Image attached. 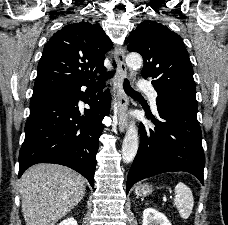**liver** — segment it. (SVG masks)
Here are the masks:
<instances>
[{"instance_id":"liver-1","label":"liver","mask_w":228,"mask_h":225,"mask_svg":"<svg viewBox=\"0 0 228 225\" xmlns=\"http://www.w3.org/2000/svg\"><path fill=\"white\" fill-rule=\"evenodd\" d=\"M19 183L26 225H55L80 203L86 191L85 179L61 165H34Z\"/></svg>"}]
</instances>
